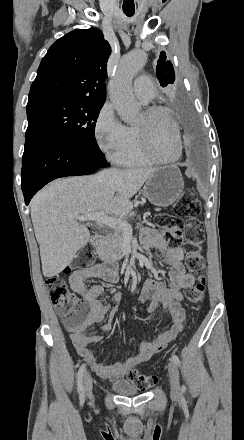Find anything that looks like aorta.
<instances>
[{
  "mask_svg": "<svg viewBox=\"0 0 244 440\" xmlns=\"http://www.w3.org/2000/svg\"><path fill=\"white\" fill-rule=\"evenodd\" d=\"M145 62V52H130L122 58L115 76L109 82L111 101L120 118L126 123L134 122L140 111V105L132 93V81Z\"/></svg>",
  "mask_w": 244,
  "mask_h": 440,
  "instance_id": "1",
  "label": "aorta"
}]
</instances>
